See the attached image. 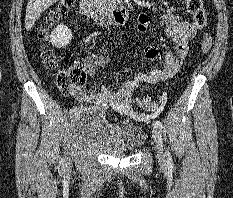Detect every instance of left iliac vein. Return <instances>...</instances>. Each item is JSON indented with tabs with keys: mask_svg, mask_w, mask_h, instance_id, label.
<instances>
[{
	"mask_svg": "<svg viewBox=\"0 0 233 198\" xmlns=\"http://www.w3.org/2000/svg\"><path fill=\"white\" fill-rule=\"evenodd\" d=\"M152 136H153V140L156 144L157 157H158L160 162H164L166 160V154L164 152L163 141H162L160 129L154 127Z\"/></svg>",
	"mask_w": 233,
	"mask_h": 198,
	"instance_id": "1",
	"label": "left iliac vein"
}]
</instances>
